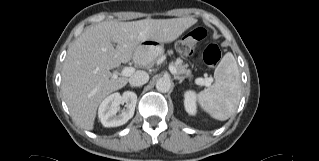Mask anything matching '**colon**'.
Here are the masks:
<instances>
[{"instance_id":"5ec220e1","label":"colon","mask_w":319,"mask_h":161,"mask_svg":"<svg viewBox=\"0 0 319 161\" xmlns=\"http://www.w3.org/2000/svg\"><path fill=\"white\" fill-rule=\"evenodd\" d=\"M206 36L207 32L203 27H196L179 41L178 50L184 55L193 53L195 57H201L209 65H217L222 56L217 43H209L202 53L194 51L195 45L205 39Z\"/></svg>"}]
</instances>
